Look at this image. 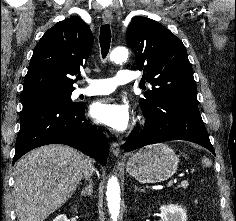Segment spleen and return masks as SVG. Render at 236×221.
Masks as SVG:
<instances>
[{
    "instance_id": "3e777b00",
    "label": "spleen",
    "mask_w": 236,
    "mask_h": 221,
    "mask_svg": "<svg viewBox=\"0 0 236 221\" xmlns=\"http://www.w3.org/2000/svg\"><path fill=\"white\" fill-rule=\"evenodd\" d=\"M202 161H203V163H204L205 166H208V167L211 166V161L208 160L207 158H203Z\"/></svg>"
}]
</instances>
